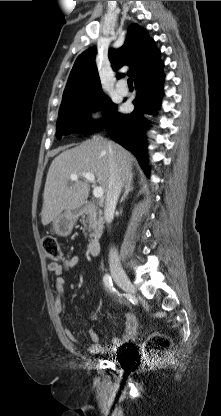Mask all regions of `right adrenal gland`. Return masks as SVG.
<instances>
[{
    "mask_svg": "<svg viewBox=\"0 0 221 416\" xmlns=\"http://www.w3.org/2000/svg\"><path fill=\"white\" fill-rule=\"evenodd\" d=\"M133 191V185L131 182L127 183V185L125 186V191L124 194L122 195L121 199H120V203H122L129 195L130 192Z\"/></svg>",
    "mask_w": 221,
    "mask_h": 416,
    "instance_id": "2a0ac1e0",
    "label": "right adrenal gland"
}]
</instances>
